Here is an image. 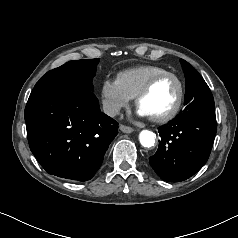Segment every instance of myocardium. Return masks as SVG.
<instances>
[{"mask_svg":"<svg viewBox=\"0 0 238 238\" xmlns=\"http://www.w3.org/2000/svg\"><path fill=\"white\" fill-rule=\"evenodd\" d=\"M165 77H172L173 79L176 80L179 88L178 96L176 99V102L174 106L171 108L170 111L167 113L160 115V116H155V117H149L150 120L156 123H165L177 116L179 111L181 110L183 101H184V96H185V85L183 80L175 73L170 72V71H165L163 73L156 74L152 76L145 84L144 86L138 91V93L135 96V104L139 108V103L141 99L147 95L152 87L162 78Z\"/></svg>","mask_w":238,"mask_h":238,"instance_id":"f54148a6","label":"myocardium"}]
</instances>
